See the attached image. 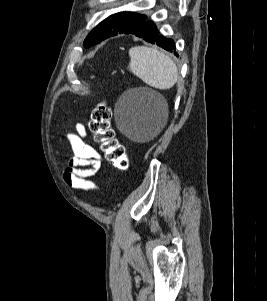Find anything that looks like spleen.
<instances>
[{"instance_id": "obj_1", "label": "spleen", "mask_w": 267, "mask_h": 301, "mask_svg": "<svg viewBox=\"0 0 267 301\" xmlns=\"http://www.w3.org/2000/svg\"><path fill=\"white\" fill-rule=\"evenodd\" d=\"M129 70L147 85L160 90L170 89L178 78L174 61L157 48L132 47L129 50Z\"/></svg>"}]
</instances>
